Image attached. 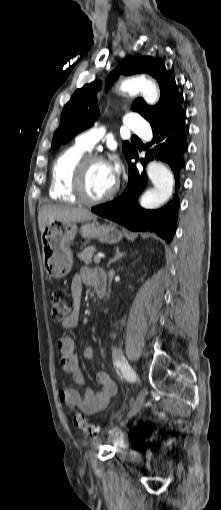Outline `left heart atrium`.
<instances>
[{
  "label": "left heart atrium",
  "instance_id": "1",
  "mask_svg": "<svg viewBox=\"0 0 221 510\" xmlns=\"http://www.w3.org/2000/svg\"><path fill=\"white\" fill-rule=\"evenodd\" d=\"M108 165H109L111 174L114 176L115 179H117L119 176V171H120V164H119L118 159L116 157H114L112 161L108 162Z\"/></svg>",
  "mask_w": 221,
  "mask_h": 510
}]
</instances>
